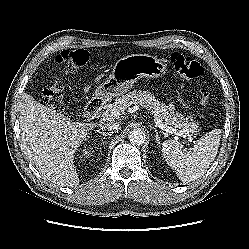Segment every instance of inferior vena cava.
<instances>
[{"label": "inferior vena cava", "mask_w": 249, "mask_h": 249, "mask_svg": "<svg viewBox=\"0 0 249 249\" xmlns=\"http://www.w3.org/2000/svg\"><path fill=\"white\" fill-rule=\"evenodd\" d=\"M100 128L103 130H107L111 133L118 132L121 127L118 122H107V123H101Z\"/></svg>", "instance_id": "inferior-vena-cava-1"}]
</instances>
